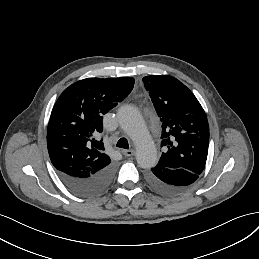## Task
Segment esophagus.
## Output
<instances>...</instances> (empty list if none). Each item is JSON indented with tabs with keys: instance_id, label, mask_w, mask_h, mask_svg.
<instances>
[{
	"instance_id": "1",
	"label": "esophagus",
	"mask_w": 259,
	"mask_h": 259,
	"mask_svg": "<svg viewBox=\"0 0 259 259\" xmlns=\"http://www.w3.org/2000/svg\"><path fill=\"white\" fill-rule=\"evenodd\" d=\"M135 150L131 149V150H122V154L126 157H131L135 155Z\"/></svg>"
}]
</instances>
